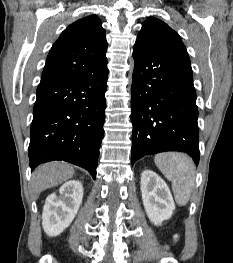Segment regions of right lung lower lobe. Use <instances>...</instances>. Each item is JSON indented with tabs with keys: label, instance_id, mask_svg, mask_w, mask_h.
Here are the masks:
<instances>
[{
	"label": "right lung lower lobe",
	"instance_id": "1",
	"mask_svg": "<svg viewBox=\"0 0 233 263\" xmlns=\"http://www.w3.org/2000/svg\"><path fill=\"white\" fill-rule=\"evenodd\" d=\"M107 78L105 60L93 74L38 85L28 150L31 170L44 162L64 160L96 178Z\"/></svg>",
	"mask_w": 233,
	"mask_h": 263
}]
</instances>
